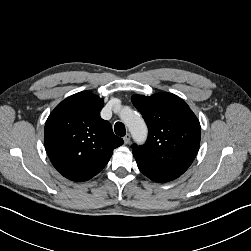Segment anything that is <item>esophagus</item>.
<instances>
[{
	"label": "esophagus",
	"mask_w": 251,
	"mask_h": 251,
	"mask_svg": "<svg viewBox=\"0 0 251 251\" xmlns=\"http://www.w3.org/2000/svg\"><path fill=\"white\" fill-rule=\"evenodd\" d=\"M130 140H131L130 134H126V135L124 136V142H125V144H129V143H130Z\"/></svg>",
	"instance_id": "1"
}]
</instances>
